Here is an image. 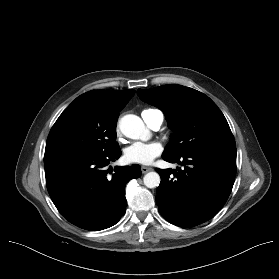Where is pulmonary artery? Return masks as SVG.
<instances>
[{
  "mask_svg": "<svg viewBox=\"0 0 279 279\" xmlns=\"http://www.w3.org/2000/svg\"><path fill=\"white\" fill-rule=\"evenodd\" d=\"M142 118L153 130H158L163 123V114L159 110H149L142 112Z\"/></svg>",
  "mask_w": 279,
  "mask_h": 279,
  "instance_id": "e3ab8cb5",
  "label": "pulmonary artery"
}]
</instances>
